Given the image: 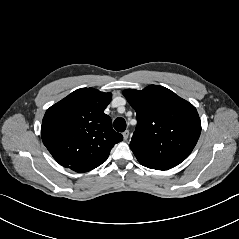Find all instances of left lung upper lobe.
<instances>
[{
  "mask_svg": "<svg viewBox=\"0 0 239 239\" xmlns=\"http://www.w3.org/2000/svg\"><path fill=\"white\" fill-rule=\"evenodd\" d=\"M123 95L137 114L130 148L141 165L168 170L184 161L201 132L196 108L171 90L150 85Z\"/></svg>",
  "mask_w": 239,
  "mask_h": 239,
  "instance_id": "5c2ea615",
  "label": "left lung upper lobe"
}]
</instances>
